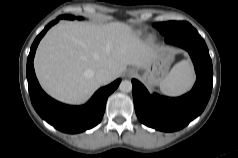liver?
Returning <instances> with one entry per match:
<instances>
[{
  "label": "liver",
  "mask_w": 238,
  "mask_h": 158,
  "mask_svg": "<svg viewBox=\"0 0 238 158\" xmlns=\"http://www.w3.org/2000/svg\"><path fill=\"white\" fill-rule=\"evenodd\" d=\"M156 52L153 45L141 41L122 22H64L41 40L34 66L47 93L78 104L100 87L95 78L99 69H108L114 80L128 65L143 68Z\"/></svg>",
  "instance_id": "liver-1"
}]
</instances>
